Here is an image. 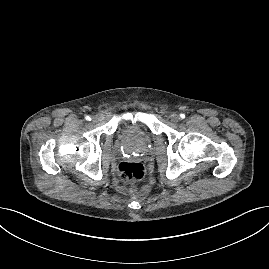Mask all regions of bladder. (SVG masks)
Segmentation results:
<instances>
[{
  "label": "bladder",
  "mask_w": 269,
  "mask_h": 269,
  "mask_svg": "<svg viewBox=\"0 0 269 269\" xmlns=\"http://www.w3.org/2000/svg\"><path fill=\"white\" fill-rule=\"evenodd\" d=\"M122 135L126 140L137 141L142 137L138 133V127L135 124H126L122 128Z\"/></svg>",
  "instance_id": "obj_1"
}]
</instances>
